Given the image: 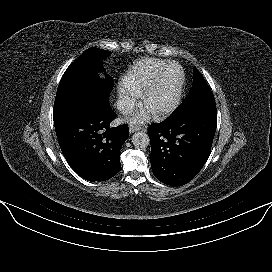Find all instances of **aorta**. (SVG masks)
<instances>
[{
  "mask_svg": "<svg viewBox=\"0 0 272 272\" xmlns=\"http://www.w3.org/2000/svg\"><path fill=\"white\" fill-rule=\"evenodd\" d=\"M132 143L136 148H146L150 144L149 136L145 132H136L132 136Z\"/></svg>",
  "mask_w": 272,
  "mask_h": 272,
  "instance_id": "obj_1",
  "label": "aorta"
}]
</instances>
